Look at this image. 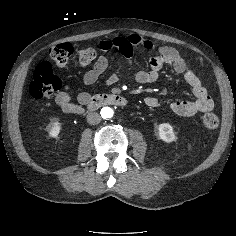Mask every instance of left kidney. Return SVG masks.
Returning a JSON list of instances; mask_svg holds the SVG:
<instances>
[{"label":"left kidney","mask_w":236,"mask_h":236,"mask_svg":"<svg viewBox=\"0 0 236 236\" xmlns=\"http://www.w3.org/2000/svg\"><path fill=\"white\" fill-rule=\"evenodd\" d=\"M158 136L164 142H172L175 140L173 127L168 123H162L158 126Z\"/></svg>","instance_id":"left-kidney-1"}]
</instances>
